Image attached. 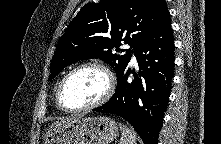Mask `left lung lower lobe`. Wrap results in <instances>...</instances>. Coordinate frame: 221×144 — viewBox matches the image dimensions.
I'll return each mask as SVG.
<instances>
[{
  "label": "left lung lower lobe",
  "instance_id": "0a47b994",
  "mask_svg": "<svg viewBox=\"0 0 221 144\" xmlns=\"http://www.w3.org/2000/svg\"><path fill=\"white\" fill-rule=\"evenodd\" d=\"M134 54L139 65L138 73L126 65L117 77L114 95L93 111L124 118L145 144H157L174 68V40L168 12ZM130 73L134 74V79L128 82Z\"/></svg>",
  "mask_w": 221,
  "mask_h": 144
}]
</instances>
